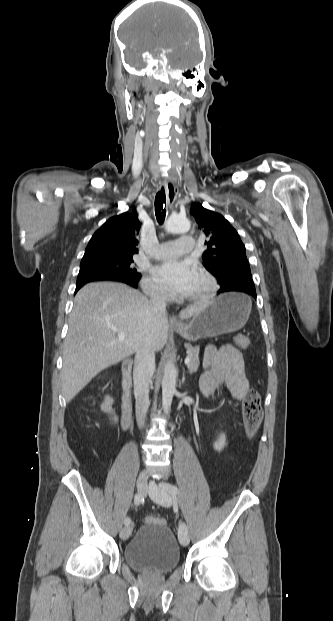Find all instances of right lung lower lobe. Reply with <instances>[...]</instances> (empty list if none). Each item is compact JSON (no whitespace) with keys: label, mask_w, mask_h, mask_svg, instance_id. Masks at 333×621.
<instances>
[{"label":"right lung lower lobe","mask_w":333,"mask_h":621,"mask_svg":"<svg viewBox=\"0 0 333 621\" xmlns=\"http://www.w3.org/2000/svg\"><path fill=\"white\" fill-rule=\"evenodd\" d=\"M102 280L118 281V282L128 284L134 288H137V283H138V282L127 281V280L120 279V278H104V277H98V276L79 277L77 279L75 293L86 283H89L92 281H102Z\"/></svg>","instance_id":"1"}]
</instances>
